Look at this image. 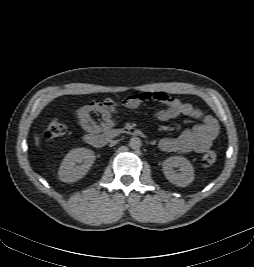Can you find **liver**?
<instances>
[{
    "mask_svg": "<svg viewBox=\"0 0 254 267\" xmlns=\"http://www.w3.org/2000/svg\"><path fill=\"white\" fill-rule=\"evenodd\" d=\"M35 144L36 146H39V138L37 136H35Z\"/></svg>",
    "mask_w": 254,
    "mask_h": 267,
    "instance_id": "obj_1",
    "label": "liver"
}]
</instances>
